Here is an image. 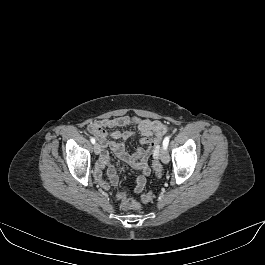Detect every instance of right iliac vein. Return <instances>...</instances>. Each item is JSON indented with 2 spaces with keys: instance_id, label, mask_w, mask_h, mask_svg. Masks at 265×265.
<instances>
[{
  "instance_id": "63e3f726",
  "label": "right iliac vein",
  "mask_w": 265,
  "mask_h": 265,
  "mask_svg": "<svg viewBox=\"0 0 265 265\" xmlns=\"http://www.w3.org/2000/svg\"><path fill=\"white\" fill-rule=\"evenodd\" d=\"M94 153L98 155L100 153V145L99 143L94 144Z\"/></svg>"
}]
</instances>
